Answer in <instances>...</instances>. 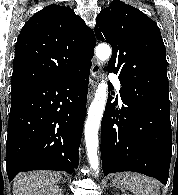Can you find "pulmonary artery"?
Returning <instances> with one entry per match:
<instances>
[{
	"instance_id": "e3ab8cb5",
	"label": "pulmonary artery",
	"mask_w": 178,
	"mask_h": 195,
	"mask_svg": "<svg viewBox=\"0 0 178 195\" xmlns=\"http://www.w3.org/2000/svg\"><path fill=\"white\" fill-rule=\"evenodd\" d=\"M111 80H112L113 84L115 85L117 91H119V89H120V81H119V79L116 78V77H111Z\"/></svg>"
}]
</instances>
